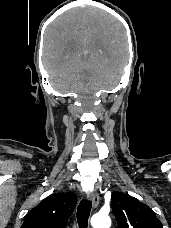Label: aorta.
Returning a JSON list of instances; mask_svg holds the SVG:
<instances>
[{"mask_svg": "<svg viewBox=\"0 0 171 228\" xmlns=\"http://www.w3.org/2000/svg\"><path fill=\"white\" fill-rule=\"evenodd\" d=\"M91 225L93 228H110L111 219L107 214L98 213L92 217Z\"/></svg>", "mask_w": 171, "mask_h": 228, "instance_id": "762f6f07", "label": "aorta"}]
</instances>
